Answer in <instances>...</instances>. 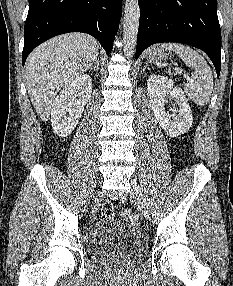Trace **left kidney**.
Segmentation results:
<instances>
[{"label": "left kidney", "instance_id": "obj_1", "mask_svg": "<svg viewBox=\"0 0 233 286\" xmlns=\"http://www.w3.org/2000/svg\"><path fill=\"white\" fill-rule=\"evenodd\" d=\"M147 90L152 101V108L161 128L170 137L185 134L193 123V116L188 100L181 88L174 86L171 79L151 75L147 80ZM174 100L173 114L166 112L164 105L167 96Z\"/></svg>", "mask_w": 233, "mask_h": 286}]
</instances>
